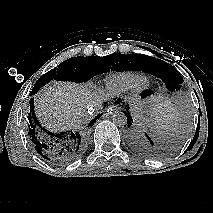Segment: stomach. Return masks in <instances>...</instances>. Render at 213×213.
Instances as JSON below:
<instances>
[{
  "label": "stomach",
  "mask_w": 213,
  "mask_h": 213,
  "mask_svg": "<svg viewBox=\"0 0 213 213\" xmlns=\"http://www.w3.org/2000/svg\"><path fill=\"white\" fill-rule=\"evenodd\" d=\"M135 113L141 123L149 125L155 121L158 110L154 104L142 103L136 107Z\"/></svg>",
  "instance_id": "0dacf381"
}]
</instances>
